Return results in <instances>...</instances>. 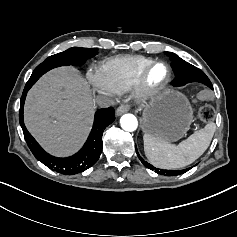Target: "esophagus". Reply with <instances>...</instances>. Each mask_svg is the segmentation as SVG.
Returning <instances> with one entry per match:
<instances>
[{"label": "esophagus", "mask_w": 237, "mask_h": 237, "mask_svg": "<svg viewBox=\"0 0 237 237\" xmlns=\"http://www.w3.org/2000/svg\"><path fill=\"white\" fill-rule=\"evenodd\" d=\"M129 108H130L129 104H127V103L121 104L116 110V115L120 116V115L126 113L129 110Z\"/></svg>", "instance_id": "34e87169"}]
</instances>
